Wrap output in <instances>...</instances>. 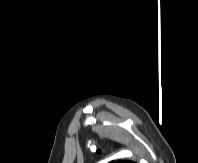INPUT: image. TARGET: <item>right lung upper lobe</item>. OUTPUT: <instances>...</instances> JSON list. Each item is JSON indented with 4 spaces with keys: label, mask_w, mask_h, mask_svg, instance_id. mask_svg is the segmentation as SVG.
Listing matches in <instances>:
<instances>
[{
    "label": "right lung upper lobe",
    "mask_w": 198,
    "mask_h": 163,
    "mask_svg": "<svg viewBox=\"0 0 198 163\" xmlns=\"http://www.w3.org/2000/svg\"><path fill=\"white\" fill-rule=\"evenodd\" d=\"M109 163H135V162L117 160V161H111V162H109Z\"/></svg>",
    "instance_id": "obj_1"
}]
</instances>
